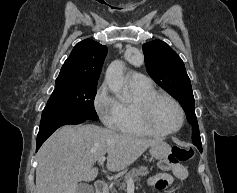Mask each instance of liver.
I'll return each instance as SVG.
<instances>
[{"label":"liver","mask_w":237,"mask_h":193,"mask_svg":"<svg viewBox=\"0 0 237 193\" xmlns=\"http://www.w3.org/2000/svg\"><path fill=\"white\" fill-rule=\"evenodd\" d=\"M159 141L119 134L93 124L63 126L38 151L36 193H77L78 182L97 177L94 163L101 156L108 154L109 171H120Z\"/></svg>","instance_id":"liver-1"}]
</instances>
